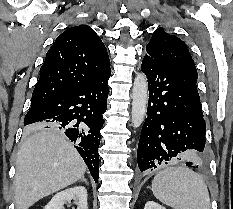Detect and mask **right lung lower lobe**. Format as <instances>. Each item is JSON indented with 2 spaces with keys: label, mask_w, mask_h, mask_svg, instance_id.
Instances as JSON below:
<instances>
[{
  "label": "right lung lower lobe",
  "mask_w": 233,
  "mask_h": 209,
  "mask_svg": "<svg viewBox=\"0 0 233 209\" xmlns=\"http://www.w3.org/2000/svg\"><path fill=\"white\" fill-rule=\"evenodd\" d=\"M111 69L101 77L31 106L24 124L34 127L52 125L75 144L95 182L99 178L100 130L107 109L108 79Z\"/></svg>",
  "instance_id": "98d812e1"
}]
</instances>
